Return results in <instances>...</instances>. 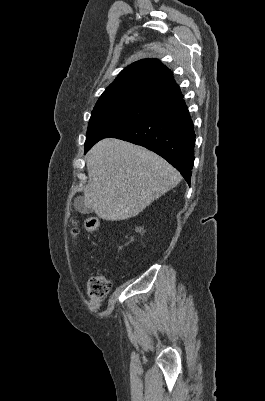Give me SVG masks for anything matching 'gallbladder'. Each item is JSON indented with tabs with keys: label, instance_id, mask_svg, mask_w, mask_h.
Instances as JSON below:
<instances>
[{
	"label": "gallbladder",
	"instance_id": "obj_1",
	"mask_svg": "<svg viewBox=\"0 0 265 401\" xmlns=\"http://www.w3.org/2000/svg\"><path fill=\"white\" fill-rule=\"evenodd\" d=\"M74 209L75 211H78V213H83V215H89V213H93L92 209L85 207L83 196H77V198H75Z\"/></svg>",
	"mask_w": 265,
	"mask_h": 401
}]
</instances>
